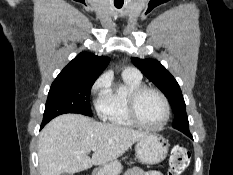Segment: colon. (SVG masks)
I'll use <instances>...</instances> for the list:
<instances>
[{
  "instance_id": "colon-1",
  "label": "colon",
  "mask_w": 233,
  "mask_h": 175,
  "mask_svg": "<svg viewBox=\"0 0 233 175\" xmlns=\"http://www.w3.org/2000/svg\"><path fill=\"white\" fill-rule=\"evenodd\" d=\"M190 159V151L185 145H174L169 155L168 175H181L189 165Z\"/></svg>"
}]
</instances>
